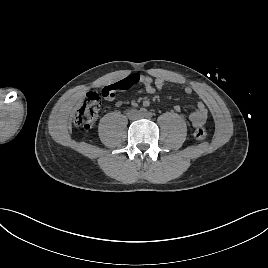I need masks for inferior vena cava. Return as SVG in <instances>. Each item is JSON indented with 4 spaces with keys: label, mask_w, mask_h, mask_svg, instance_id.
I'll return each mask as SVG.
<instances>
[{
    "label": "inferior vena cava",
    "mask_w": 268,
    "mask_h": 268,
    "mask_svg": "<svg viewBox=\"0 0 268 268\" xmlns=\"http://www.w3.org/2000/svg\"><path fill=\"white\" fill-rule=\"evenodd\" d=\"M129 117H130L131 119H136V118H137V115H130V114H129Z\"/></svg>",
    "instance_id": "inferior-vena-cava-1"
}]
</instances>
